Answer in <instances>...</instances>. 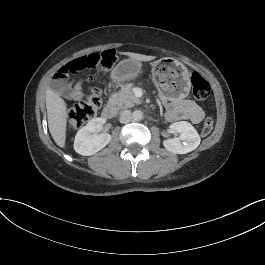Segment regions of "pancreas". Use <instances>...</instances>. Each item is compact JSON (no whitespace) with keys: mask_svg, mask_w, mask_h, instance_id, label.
Here are the masks:
<instances>
[{"mask_svg":"<svg viewBox=\"0 0 265 265\" xmlns=\"http://www.w3.org/2000/svg\"><path fill=\"white\" fill-rule=\"evenodd\" d=\"M133 87V83H127L119 92L112 94L114 105L118 109L132 108L136 104L141 103V100L133 95ZM160 101L163 106H166L168 103L167 99L163 98L162 96H160Z\"/></svg>","mask_w":265,"mask_h":265,"instance_id":"1","label":"pancreas"}]
</instances>
